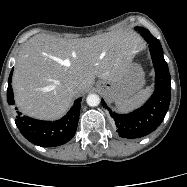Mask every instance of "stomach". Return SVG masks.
Instances as JSON below:
<instances>
[{"instance_id":"0dacf381","label":"stomach","mask_w":187,"mask_h":187,"mask_svg":"<svg viewBox=\"0 0 187 187\" xmlns=\"http://www.w3.org/2000/svg\"><path fill=\"white\" fill-rule=\"evenodd\" d=\"M144 71L137 63H131L125 75L118 81H98L96 86L109 102H120L132 97L144 85Z\"/></svg>"}]
</instances>
